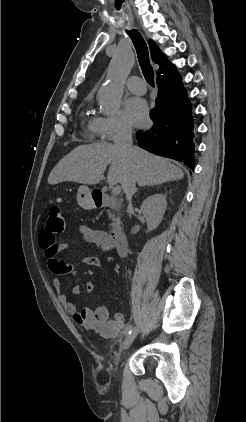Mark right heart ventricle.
<instances>
[{
    "label": "right heart ventricle",
    "instance_id": "right-heart-ventricle-1",
    "mask_svg": "<svg viewBox=\"0 0 246 422\" xmlns=\"http://www.w3.org/2000/svg\"><path fill=\"white\" fill-rule=\"evenodd\" d=\"M95 121H96V118L89 116V113L87 112L86 113V128L92 134H96Z\"/></svg>",
    "mask_w": 246,
    "mask_h": 422
}]
</instances>
